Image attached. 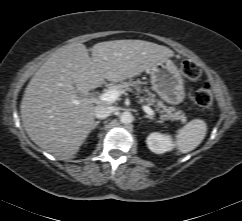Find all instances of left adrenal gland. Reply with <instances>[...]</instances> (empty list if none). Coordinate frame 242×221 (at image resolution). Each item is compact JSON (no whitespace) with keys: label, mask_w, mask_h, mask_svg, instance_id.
<instances>
[{"label":"left adrenal gland","mask_w":242,"mask_h":221,"mask_svg":"<svg viewBox=\"0 0 242 221\" xmlns=\"http://www.w3.org/2000/svg\"><path fill=\"white\" fill-rule=\"evenodd\" d=\"M144 118L153 119L150 115H144Z\"/></svg>","instance_id":"obj_1"}]
</instances>
